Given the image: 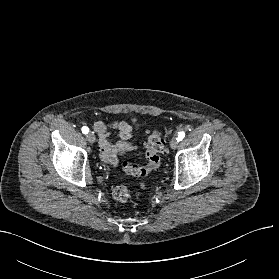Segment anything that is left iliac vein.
<instances>
[{
	"label": "left iliac vein",
	"instance_id": "left-iliac-vein-1",
	"mask_svg": "<svg viewBox=\"0 0 279 279\" xmlns=\"http://www.w3.org/2000/svg\"><path fill=\"white\" fill-rule=\"evenodd\" d=\"M170 147L171 149H176L178 147V141L176 138H173L171 141H170Z\"/></svg>",
	"mask_w": 279,
	"mask_h": 279
}]
</instances>
